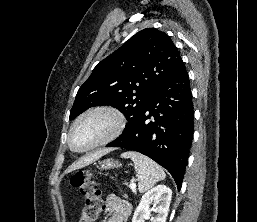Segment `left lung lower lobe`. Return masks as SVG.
Listing matches in <instances>:
<instances>
[{"instance_id":"obj_1","label":"left lung lower lobe","mask_w":257,"mask_h":222,"mask_svg":"<svg viewBox=\"0 0 257 222\" xmlns=\"http://www.w3.org/2000/svg\"><path fill=\"white\" fill-rule=\"evenodd\" d=\"M193 131L192 94L182 61L151 95L135 122L106 147L150 157L170 172L180 190Z\"/></svg>"}]
</instances>
